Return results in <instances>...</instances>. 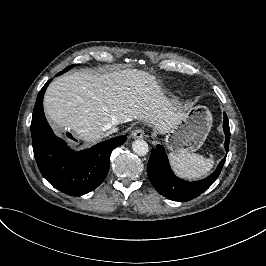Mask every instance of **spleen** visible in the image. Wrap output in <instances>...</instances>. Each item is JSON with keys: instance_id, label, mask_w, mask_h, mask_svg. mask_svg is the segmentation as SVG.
<instances>
[{"instance_id": "obj_1", "label": "spleen", "mask_w": 266, "mask_h": 266, "mask_svg": "<svg viewBox=\"0 0 266 266\" xmlns=\"http://www.w3.org/2000/svg\"><path fill=\"white\" fill-rule=\"evenodd\" d=\"M172 165L179 175L186 177H197L206 174L213 165L210 158H204L196 153L182 154L179 152L170 153Z\"/></svg>"}]
</instances>
